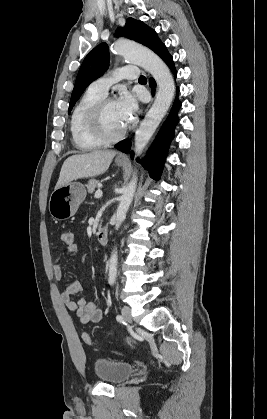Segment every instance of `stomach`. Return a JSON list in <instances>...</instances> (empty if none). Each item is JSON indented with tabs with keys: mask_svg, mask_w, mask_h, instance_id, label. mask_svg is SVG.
I'll list each match as a JSON object with an SVG mask.
<instances>
[{
	"mask_svg": "<svg viewBox=\"0 0 267 419\" xmlns=\"http://www.w3.org/2000/svg\"><path fill=\"white\" fill-rule=\"evenodd\" d=\"M117 166H123L124 162L116 160ZM86 189L80 182L55 188L49 200V212L54 219L65 220L75 215L79 205L85 200Z\"/></svg>",
	"mask_w": 267,
	"mask_h": 419,
	"instance_id": "stomach-1",
	"label": "stomach"
}]
</instances>
